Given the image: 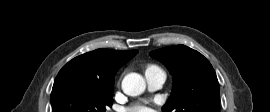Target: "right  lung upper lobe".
Wrapping results in <instances>:
<instances>
[{
  "instance_id": "obj_1",
  "label": "right lung upper lobe",
  "mask_w": 270,
  "mask_h": 112,
  "mask_svg": "<svg viewBox=\"0 0 270 112\" xmlns=\"http://www.w3.org/2000/svg\"><path fill=\"white\" fill-rule=\"evenodd\" d=\"M138 50L115 51L97 49L70 60L58 73L55 81L75 78L103 85H114L117 70L133 58Z\"/></svg>"
}]
</instances>
